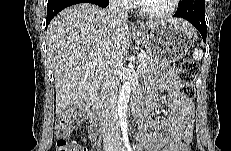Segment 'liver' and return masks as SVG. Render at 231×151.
Wrapping results in <instances>:
<instances>
[{
	"label": "liver",
	"instance_id": "6515ba94",
	"mask_svg": "<svg viewBox=\"0 0 231 151\" xmlns=\"http://www.w3.org/2000/svg\"><path fill=\"white\" fill-rule=\"evenodd\" d=\"M170 21L189 35L194 32L185 20ZM46 43L55 80L56 114H61L74 101L97 90L104 74L120 66L129 50L130 32L127 20H118L94 4L80 3L54 17ZM93 62L96 64L88 65Z\"/></svg>",
	"mask_w": 231,
	"mask_h": 151
}]
</instances>
